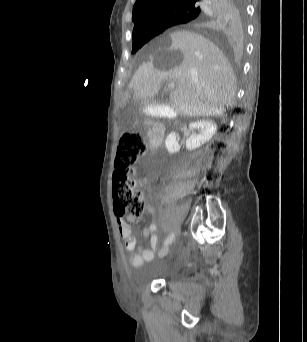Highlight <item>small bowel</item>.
Returning a JSON list of instances; mask_svg holds the SVG:
<instances>
[{
  "label": "small bowel",
  "mask_w": 307,
  "mask_h": 342,
  "mask_svg": "<svg viewBox=\"0 0 307 342\" xmlns=\"http://www.w3.org/2000/svg\"><path fill=\"white\" fill-rule=\"evenodd\" d=\"M148 212L153 214L154 211L152 208H148ZM133 221L131 219L125 220L123 217H117L116 220L119 234L125 242L126 250L130 253V265L138 268L154 258L158 245V235L156 224H150L143 231L145 237H150V246L148 248H140L135 237L132 235L130 222Z\"/></svg>",
  "instance_id": "obj_1"
}]
</instances>
